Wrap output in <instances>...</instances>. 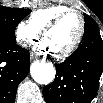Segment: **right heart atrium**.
Returning <instances> with one entry per match:
<instances>
[{
    "label": "right heart atrium",
    "instance_id": "d8ad5b80",
    "mask_svg": "<svg viewBox=\"0 0 103 103\" xmlns=\"http://www.w3.org/2000/svg\"><path fill=\"white\" fill-rule=\"evenodd\" d=\"M38 35L39 31L30 22L20 21L15 27V39L20 46H27Z\"/></svg>",
    "mask_w": 103,
    "mask_h": 103
}]
</instances>
